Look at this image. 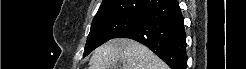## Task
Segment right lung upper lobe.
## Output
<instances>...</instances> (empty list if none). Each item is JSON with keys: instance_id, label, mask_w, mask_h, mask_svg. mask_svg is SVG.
<instances>
[{"instance_id": "cb5924a9", "label": "right lung upper lobe", "mask_w": 246, "mask_h": 69, "mask_svg": "<svg viewBox=\"0 0 246 69\" xmlns=\"http://www.w3.org/2000/svg\"><path fill=\"white\" fill-rule=\"evenodd\" d=\"M167 1L169 0H103L93 20L121 14H143Z\"/></svg>"}]
</instances>
